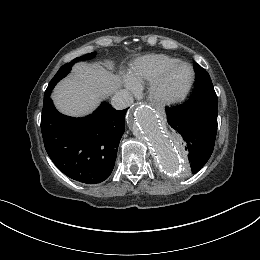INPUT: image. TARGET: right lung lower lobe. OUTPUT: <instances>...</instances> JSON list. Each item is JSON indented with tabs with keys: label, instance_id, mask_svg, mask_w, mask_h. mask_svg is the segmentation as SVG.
<instances>
[{
	"label": "right lung lower lobe",
	"instance_id": "1",
	"mask_svg": "<svg viewBox=\"0 0 260 260\" xmlns=\"http://www.w3.org/2000/svg\"><path fill=\"white\" fill-rule=\"evenodd\" d=\"M47 88L41 116L45 149L65 175L96 184L107 179L115 165L124 133L126 110H115L103 102L91 115L74 118L56 110Z\"/></svg>",
	"mask_w": 260,
	"mask_h": 260
}]
</instances>
